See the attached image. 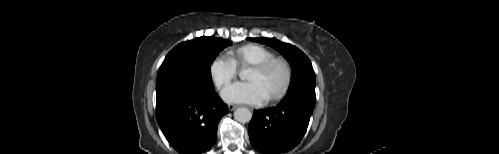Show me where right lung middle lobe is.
Instances as JSON below:
<instances>
[{
    "label": "right lung middle lobe",
    "mask_w": 499,
    "mask_h": 154,
    "mask_svg": "<svg viewBox=\"0 0 499 154\" xmlns=\"http://www.w3.org/2000/svg\"><path fill=\"white\" fill-rule=\"evenodd\" d=\"M229 45L228 40L206 36L178 44L159 68L156 93L177 88L202 92L213 90L210 65Z\"/></svg>",
    "instance_id": "1"
}]
</instances>
